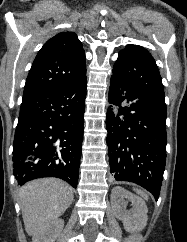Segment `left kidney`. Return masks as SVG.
Masks as SVG:
<instances>
[{"mask_svg": "<svg viewBox=\"0 0 187 242\" xmlns=\"http://www.w3.org/2000/svg\"><path fill=\"white\" fill-rule=\"evenodd\" d=\"M125 199L131 202V211H126ZM111 205L115 216L122 220L126 231L136 232L145 228L148 209L143 199L117 186L111 191Z\"/></svg>", "mask_w": 187, "mask_h": 242, "instance_id": "5707ae66", "label": "left kidney"}]
</instances>
